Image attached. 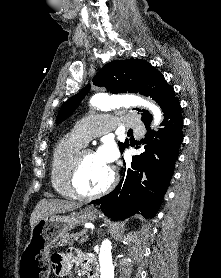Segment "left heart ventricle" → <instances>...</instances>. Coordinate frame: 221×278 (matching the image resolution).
<instances>
[{"mask_svg": "<svg viewBox=\"0 0 221 278\" xmlns=\"http://www.w3.org/2000/svg\"><path fill=\"white\" fill-rule=\"evenodd\" d=\"M110 176V166L93 153L83 160L79 172V183L85 192H96L109 182Z\"/></svg>", "mask_w": 221, "mask_h": 278, "instance_id": "b2bd125f", "label": "left heart ventricle"}]
</instances>
